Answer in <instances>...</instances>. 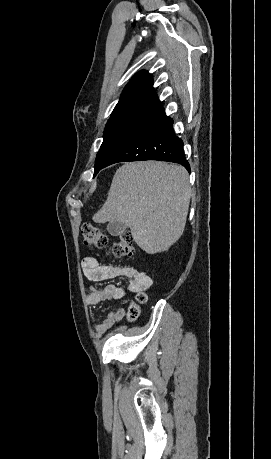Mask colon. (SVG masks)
Listing matches in <instances>:
<instances>
[{
  "mask_svg": "<svg viewBox=\"0 0 271 459\" xmlns=\"http://www.w3.org/2000/svg\"><path fill=\"white\" fill-rule=\"evenodd\" d=\"M81 235L83 237L84 245L91 248H104L107 245V237L101 228L84 224L81 226ZM133 238L130 232L125 231L121 233L116 242L110 247L109 254L116 258L130 259L134 255ZM137 303H134L129 308V319L134 320L138 317L139 306L138 304L146 301L144 293H139L136 297Z\"/></svg>",
  "mask_w": 271,
  "mask_h": 459,
  "instance_id": "1",
  "label": "colon"
}]
</instances>
